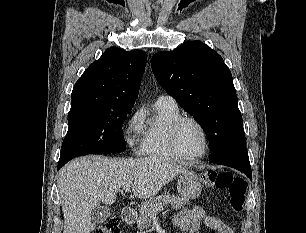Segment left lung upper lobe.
<instances>
[{
  "label": "left lung upper lobe",
  "instance_id": "obj_1",
  "mask_svg": "<svg viewBox=\"0 0 306 233\" xmlns=\"http://www.w3.org/2000/svg\"><path fill=\"white\" fill-rule=\"evenodd\" d=\"M151 66L163 89L205 130L210 162L248 156L231 71L216 51L192 41L158 52Z\"/></svg>",
  "mask_w": 306,
  "mask_h": 233
}]
</instances>
